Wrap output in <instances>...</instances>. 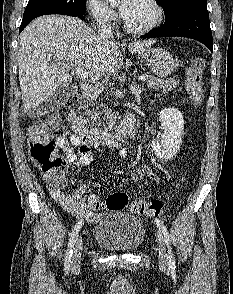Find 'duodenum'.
I'll return each instance as SVG.
<instances>
[{"label":"duodenum","instance_id":"duodenum-1","mask_svg":"<svg viewBox=\"0 0 233 294\" xmlns=\"http://www.w3.org/2000/svg\"><path fill=\"white\" fill-rule=\"evenodd\" d=\"M68 118L72 123L74 132L91 145L116 146L122 139L132 138L135 132L134 119L131 115L127 116L122 124L112 131L88 128L83 118L75 110L69 112Z\"/></svg>","mask_w":233,"mask_h":294}]
</instances>
